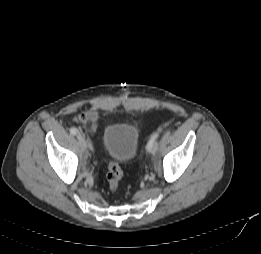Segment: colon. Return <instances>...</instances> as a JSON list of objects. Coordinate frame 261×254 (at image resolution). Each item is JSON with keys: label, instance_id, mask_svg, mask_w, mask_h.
<instances>
[{"label": "colon", "instance_id": "1", "mask_svg": "<svg viewBox=\"0 0 261 254\" xmlns=\"http://www.w3.org/2000/svg\"><path fill=\"white\" fill-rule=\"evenodd\" d=\"M123 176V171L117 161H110L107 167L106 179L111 191H116Z\"/></svg>", "mask_w": 261, "mask_h": 254}]
</instances>
